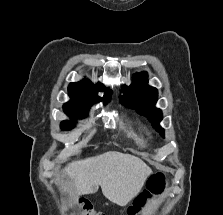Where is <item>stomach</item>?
Returning a JSON list of instances; mask_svg holds the SVG:
<instances>
[{
	"label": "stomach",
	"instance_id": "stomach-1",
	"mask_svg": "<svg viewBox=\"0 0 223 215\" xmlns=\"http://www.w3.org/2000/svg\"><path fill=\"white\" fill-rule=\"evenodd\" d=\"M151 177H152V175H151ZM151 177H149V179H151ZM142 190H151V189H150V187H144V189H142Z\"/></svg>",
	"mask_w": 223,
	"mask_h": 215
}]
</instances>
